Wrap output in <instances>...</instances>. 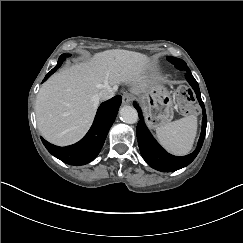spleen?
Returning a JSON list of instances; mask_svg holds the SVG:
<instances>
[{
  "mask_svg": "<svg viewBox=\"0 0 243 243\" xmlns=\"http://www.w3.org/2000/svg\"><path fill=\"white\" fill-rule=\"evenodd\" d=\"M196 127V117L184 115L159 125L156 132L159 141L168 151L176 155H184L189 153L193 146Z\"/></svg>",
  "mask_w": 243,
  "mask_h": 243,
  "instance_id": "obj_1",
  "label": "spleen"
}]
</instances>
